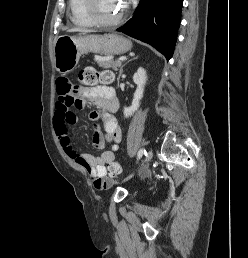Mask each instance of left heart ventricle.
Here are the masks:
<instances>
[{
	"instance_id": "1",
	"label": "left heart ventricle",
	"mask_w": 248,
	"mask_h": 258,
	"mask_svg": "<svg viewBox=\"0 0 248 258\" xmlns=\"http://www.w3.org/2000/svg\"><path fill=\"white\" fill-rule=\"evenodd\" d=\"M96 12L100 18L112 20L123 12V7L118 0H97Z\"/></svg>"
}]
</instances>
